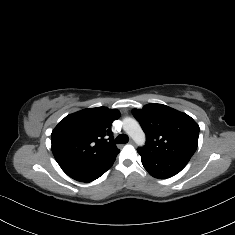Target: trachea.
I'll list each match as a JSON object with an SVG mask.
<instances>
[{
	"instance_id": "obj_1",
	"label": "trachea",
	"mask_w": 235,
	"mask_h": 235,
	"mask_svg": "<svg viewBox=\"0 0 235 235\" xmlns=\"http://www.w3.org/2000/svg\"><path fill=\"white\" fill-rule=\"evenodd\" d=\"M129 141V137L125 134H120L116 137L117 144H125Z\"/></svg>"
}]
</instances>
